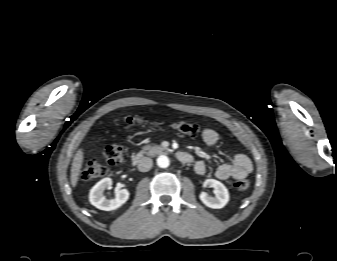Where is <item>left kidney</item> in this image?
<instances>
[{
    "mask_svg": "<svg viewBox=\"0 0 337 261\" xmlns=\"http://www.w3.org/2000/svg\"><path fill=\"white\" fill-rule=\"evenodd\" d=\"M204 187H211L215 190V197L208 196L206 192H201L199 198L207 206L213 209L223 208L229 201L228 189L218 180L207 179Z\"/></svg>",
    "mask_w": 337,
    "mask_h": 261,
    "instance_id": "5707ae66",
    "label": "left kidney"
}]
</instances>
